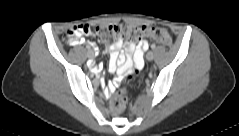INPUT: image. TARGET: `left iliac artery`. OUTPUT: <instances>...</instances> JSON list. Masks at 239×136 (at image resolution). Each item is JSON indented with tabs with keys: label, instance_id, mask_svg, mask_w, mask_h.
<instances>
[{
	"label": "left iliac artery",
	"instance_id": "1",
	"mask_svg": "<svg viewBox=\"0 0 239 136\" xmlns=\"http://www.w3.org/2000/svg\"><path fill=\"white\" fill-rule=\"evenodd\" d=\"M155 47H156L155 44L151 45V49H154Z\"/></svg>",
	"mask_w": 239,
	"mask_h": 136
}]
</instances>
